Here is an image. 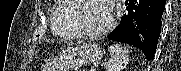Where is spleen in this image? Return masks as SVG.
<instances>
[{
	"mask_svg": "<svg viewBox=\"0 0 181 71\" xmlns=\"http://www.w3.org/2000/svg\"><path fill=\"white\" fill-rule=\"evenodd\" d=\"M110 59L107 63V71H122L129 62V49L119 44L109 47Z\"/></svg>",
	"mask_w": 181,
	"mask_h": 71,
	"instance_id": "3e777b00",
	"label": "spleen"
}]
</instances>
